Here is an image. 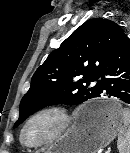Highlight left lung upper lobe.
I'll return each instance as SVG.
<instances>
[{
    "label": "left lung upper lobe",
    "mask_w": 130,
    "mask_h": 153,
    "mask_svg": "<svg viewBox=\"0 0 130 153\" xmlns=\"http://www.w3.org/2000/svg\"><path fill=\"white\" fill-rule=\"evenodd\" d=\"M122 33L117 23L103 18L90 19L78 27L34 73L14 128L46 106L80 104L99 97L98 78Z\"/></svg>",
    "instance_id": "obj_1"
}]
</instances>
